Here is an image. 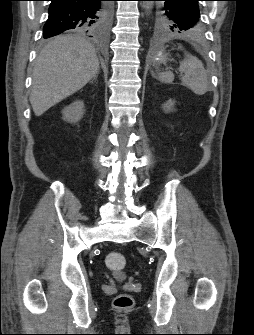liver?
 <instances>
[{"label":"liver","instance_id":"1","mask_svg":"<svg viewBox=\"0 0 254 335\" xmlns=\"http://www.w3.org/2000/svg\"><path fill=\"white\" fill-rule=\"evenodd\" d=\"M99 71L94 46L84 38L64 35L51 40L38 55L30 103L36 116L83 88Z\"/></svg>","mask_w":254,"mask_h":335}]
</instances>
